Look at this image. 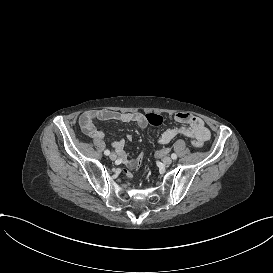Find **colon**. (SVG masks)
<instances>
[{
	"label": "colon",
	"instance_id": "5ec220e1",
	"mask_svg": "<svg viewBox=\"0 0 273 273\" xmlns=\"http://www.w3.org/2000/svg\"><path fill=\"white\" fill-rule=\"evenodd\" d=\"M146 121L152 125L159 126L164 123V117L157 113H146L144 115ZM144 151L140 150L137 154V169L141 170L144 167V159L145 156L143 155Z\"/></svg>",
	"mask_w": 273,
	"mask_h": 273
}]
</instances>
